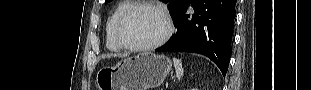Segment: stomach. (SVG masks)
<instances>
[{
    "label": "stomach",
    "instance_id": "1",
    "mask_svg": "<svg viewBox=\"0 0 311 90\" xmlns=\"http://www.w3.org/2000/svg\"><path fill=\"white\" fill-rule=\"evenodd\" d=\"M171 68L166 56L145 52L101 68L96 83L99 90H148L160 86Z\"/></svg>",
    "mask_w": 311,
    "mask_h": 90
}]
</instances>
